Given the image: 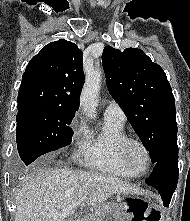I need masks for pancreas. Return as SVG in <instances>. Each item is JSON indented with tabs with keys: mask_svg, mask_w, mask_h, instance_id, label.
<instances>
[{
	"mask_svg": "<svg viewBox=\"0 0 190 221\" xmlns=\"http://www.w3.org/2000/svg\"><path fill=\"white\" fill-rule=\"evenodd\" d=\"M112 208H113L114 210H116L117 206H116L115 204H113V205H112ZM90 221H99L98 215L96 214V215L92 216L91 219H90Z\"/></svg>",
	"mask_w": 190,
	"mask_h": 221,
	"instance_id": "obj_1",
	"label": "pancreas"
}]
</instances>
